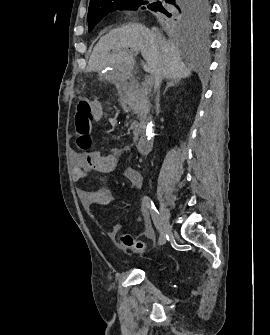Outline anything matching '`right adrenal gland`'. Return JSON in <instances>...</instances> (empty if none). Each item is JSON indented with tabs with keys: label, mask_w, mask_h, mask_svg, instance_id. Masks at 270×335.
<instances>
[{
	"label": "right adrenal gland",
	"mask_w": 270,
	"mask_h": 335,
	"mask_svg": "<svg viewBox=\"0 0 270 335\" xmlns=\"http://www.w3.org/2000/svg\"><path fill=\"white\" fill-rule=\"evenodd\" d=\"M177 84H180V80H173V78H170L169 82L166 84L163 94H166L168 88H171V86H177Z\"/></svg>",
	"instance_id": "2a0ac1e0"
}]
</instances>
